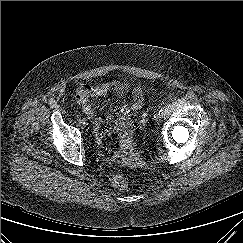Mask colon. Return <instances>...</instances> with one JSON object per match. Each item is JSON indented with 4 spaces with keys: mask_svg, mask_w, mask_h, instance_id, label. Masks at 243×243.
<instances>
[{
    "mask_svg": "<svg viewBox=\"0 0 243 243\" xmlns=\"http://www.w3.org/2000/svg\"><path fill=\"white\" fill-rule=\"evenodd\" d=\"M112 184L117 189H125L128 186V181L122 174H115L112 178Z\"/></svg>",
    "mask_w": 243,
    "mask_h": 243,
    "instance_id": "1",
    "label": "colon"
}]
</instances>
